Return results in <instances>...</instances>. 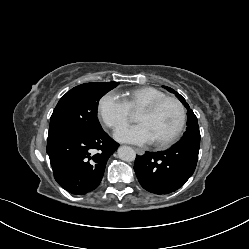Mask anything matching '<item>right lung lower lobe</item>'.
I'll use <instances>...</instances> for the list:
<instances>
[{
	"mask_svg": "<svg viewBox=\"0 0 249 249\" xmlns=\"http://www.w3.org/2000/svg\"><path fill=\"white\" fill-rule=\"evenodd\" d=\"M106 132L64 137L47 144L55 180L68 192L82 195L94 190L110 155L118 148Z\"/></svg>",
	"mask_w": 249,
	"mask_h": 249,
	"instance_id": "right-lung-lower-lobe-1",
	"label": "right lung lower lobe"
}]
</instances>
